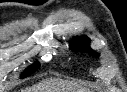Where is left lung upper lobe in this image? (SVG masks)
I'll return each mask as SVG.
<instances>
[{
    "label": "left lung upper lobe",
    "mask_w": 127,
    "mask_h": 92,
    "mask_svg": "<svg viewBox=\"0 0 127 92\" xmlns=\"http://www.w3.org/2000/svg\"><path fill=\"white\" fill-rule=\"evenodd\" d=\"M90 39L86 36L78 37L73 40V42L70 43V48L77 50V51H91V48L89 46ZM94 56H98L97 53H94Z\"/></svg>",
    "instance_id": "5c2ea615"
}]
</instances>
